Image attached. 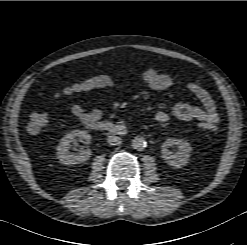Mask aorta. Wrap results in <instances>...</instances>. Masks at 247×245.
<instances>
[{
	"label": "aorta",
	"mask_w": 247,
	"mask_h": 245,
	"mask_svg": "<svg viewBox=\"0 0 247 245\" xmlns=\"http://www.w3.org/2000/svg\"><path fill=\"white\" fill-rule=\"evenodd\" d=\"M147 143L143 137L136 136L132 140V147L137 151H143L146 147Z\"/></svg>",
	"instance_id": "762f6f07"
}]
</instances>
